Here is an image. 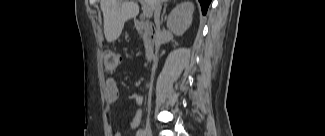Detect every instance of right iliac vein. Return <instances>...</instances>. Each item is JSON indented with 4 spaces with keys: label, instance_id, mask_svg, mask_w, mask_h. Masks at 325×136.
Here are the masks:
<instances>
[{
    "label": "right iliac vein",
    "instance_id": "63e3f726",
    "mask_svg": "<svg viewBox=\"0 0 325 136\" xmlns=\"http://www.w3.org/2000/svg\"><path fill=\"white\" fill-rule=\"evenodd\" d=\"M145 133H146V136H151L152 135V129H151L150 124H147L146 125V127H145Z\"/></svg>",
    "mask_w": 325,
    "mask_h": 136
}]
</instances>
